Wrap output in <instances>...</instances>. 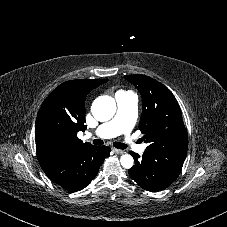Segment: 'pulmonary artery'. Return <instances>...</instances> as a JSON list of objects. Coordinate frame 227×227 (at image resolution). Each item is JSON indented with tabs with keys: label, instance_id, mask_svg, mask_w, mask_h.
I'll list each match as a JSON object with an SVG mask.
<instances>
[{
	"label": "pulmonary artery",
	"instance_id": "obj_1",
	"mask_svg": "<svg viewBox=\"0 0 227 227\" xmlns=\"http://www.w3.org/2000/svg\"><path fill=\"white\" fill-rule=\"evenodd\" d=\"M115 100L118 106L116 115L89 133L88 138L111 139L131 132L137 119L138 98L133 92H128L116 94ZM127 144L133 145L130 142ZM133 147L140 154H143L146 149V145H134Z\"/></svg>",
	"mask_w": 227,
	"mask_h": 227
}]
</instances>
